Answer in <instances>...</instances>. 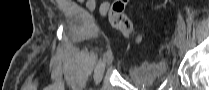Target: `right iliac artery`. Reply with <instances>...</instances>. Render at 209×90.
Listing matches in <instances>:
<instances>
[{
  "label": "right iliac artery",
  "mask_w": 209,
  "mask_h": 90,
  "mask_svg": "<svg viewBox=\"0 0 209 90\" xmlns=\"http://www.w3.org/2000/svg\"><path fill=\"white\" fill-rule=\"evenodd\" d=\"M111 55H112L111 50H108L106 53H104L103 59L105 60L106 58H108V57L111 56Z\"/></svg>",
  "instance_id": "right-iliac-artery-1"
}]
</instances>
